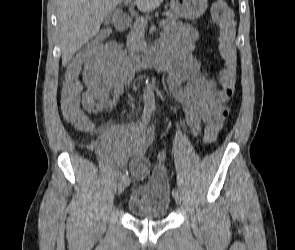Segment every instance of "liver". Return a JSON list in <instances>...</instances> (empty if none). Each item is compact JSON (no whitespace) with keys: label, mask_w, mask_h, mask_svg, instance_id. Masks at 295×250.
Listing matches in <instances>:
<instances>
[{"label":"liver","mask_w":295,"mask_h":250,"mask_svg":"<svg viewBox=\"0 0 295 250\" xmlns=\"http://www.w3.org/2000/svg\"><path fill=\"white\" fill-rule=\"evenodd\" d=\"M123 0H57L62 65L100 30L106 16ZM164 0H135L142 12L155 10Z\"/></svg>","instance_id":"liver-1"}]
</instances>
